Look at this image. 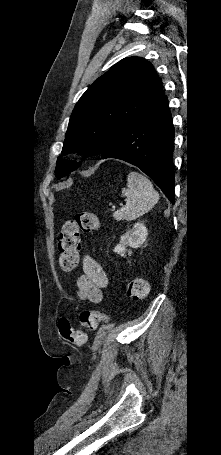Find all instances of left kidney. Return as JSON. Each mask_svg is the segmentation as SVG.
I'll return each mask as SVG.
<instances>
[{
	"label": "left kidney",
	"instance_id": "1",
	"mask_svg": "<svg viewBox=\"0 0 221 455\" xmlns=\"http://www.w3.org/2000/svg\"><path fill=\"white\" fill-rule=\"evenodd\" d=\"M147 235V228L143 223L138 222L132 229L128 230L123 236H121L120 243L115 246L113 251L120 254L122 257H125L127 246L131 248L140 247L145 242ZM131 254L132 252L129 250L128 255Z\"/></svg>",
	"mask_w": 221,
	"mask_h": 455
}]
</instances>
